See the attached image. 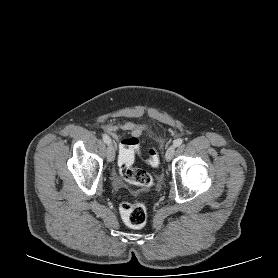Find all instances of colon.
<instances>
[{"label":"colon","mask_w":278,"mask_h":278,"mask_svg":"<svg viewBox=\"0 0 278 278\" xmlns=\"http://www.w3.org/2000/svg\"><path fill=\"white\" fill-rule=\"evenodd\" d=\"M139 148L137 138L124 139L119 145L118 166L121 177L127 182L149 187L152 185V177L145 170L133 167L135 153ZM147 163L153 167L159 164V154L155 149L148 151ZM120 215L123 221L130 227L140 228L146 223L147 209L139 202H122L120 205Z\"/></svg>","instance_id":"5ec220e1"}]
</instances>
